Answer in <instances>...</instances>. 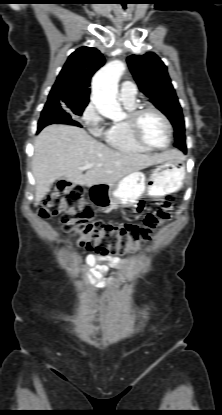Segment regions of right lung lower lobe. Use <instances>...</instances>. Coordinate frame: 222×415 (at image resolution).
Listing matches in <instances>:
<instances>
[{"label":"right lung lower lobe","instance_id":"right-lung-lower-lobe-1","mask_svg":"<svg viewBox=\"0 0 222 415\" xmlns=\"http://www.w3.org/2000/svg\"><path fill=\"white\" fill-rule=\"evenodd\" d=\"M53 123H65L81 127V125L78 122L72 120L71 116L63 110H46L44 108L40 120L38 122V132H40V130L45 126Z\"/></svg>","mask_w":222,"mask_h":415}]
</instances>
